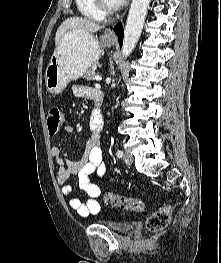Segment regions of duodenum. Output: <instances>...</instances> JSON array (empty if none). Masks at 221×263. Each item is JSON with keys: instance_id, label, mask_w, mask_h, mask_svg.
Here are the masks:
<instances>
[{"instance_id": "1", "label": "duodenum", "mask_w": 221, "mask_h": 263, "mask_svg": "<svg viewBox=\"0 0 221 263\" xmlns=\"http://www.w3.org/2000/svg\"><path fill=\"white\" fill-rule=\"evenodd\" d=\"M94 102H95V109L94 113L92 115V121L97 127L103 126V120H102V94L98 93L94 95Z\"/></svg>"}]
</instances>
